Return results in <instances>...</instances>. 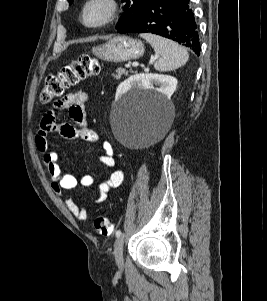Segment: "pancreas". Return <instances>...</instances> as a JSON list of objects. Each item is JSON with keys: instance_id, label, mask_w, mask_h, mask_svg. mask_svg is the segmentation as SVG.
<instances>
[{"instance_id": "cf45deb5", "label": "pancreas", "mask_w": 267, "mask_h": 301, "mask_svg": "<svg viewBox=\"0 0 267 301\" xmlns=\"http://www.w3.org/2000/svg\"><path fill=\"white\" fill-rule=\"evenodd\" d=\"M123 75H128V71H126L124 68H118L115 71V74H113L114 78L119 80Z\"/></svg>"}]
</instances>
